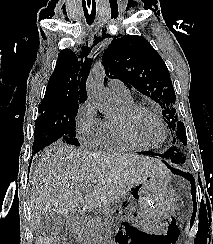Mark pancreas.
<instances>
[{
    "mask_svg": "<svg viewBox=\"0 0 213 244\" xmlns=\"http://www.w3.org/2000/svg\"><path fill=\"white\" fill-rule=\"evenodd\" d=\"M81 238L84 240V244L94 241L97 237V227L92 220L85 221L80 228Z\"/></svg>",
    "mask_w": 213,
    "mask_h": 244,
    "instance_id": "obj_1",
    "label": "pancreas"
}]
</instances>
